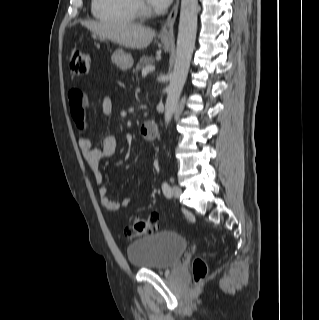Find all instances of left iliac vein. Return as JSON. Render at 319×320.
I'll list each match as a JSON object with an SVG mask.
<instances>
[{"label":"left iliac vein","mask_w":319,"mask_h":320,"mask_svg":"<svg viewBox=\"0 0 319 320\" xmlns=\"http://www.w3.org/2000/svg\"><path fill=\"white\" fill-rule=\"evenodd\" d=\"M182 194V189L175 185L173 186L172 188V195L175 197V198H178L180 195Z\"/></svg>","instance_id":"left-iliac-vein-1"}]
</instances>
